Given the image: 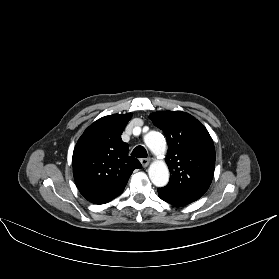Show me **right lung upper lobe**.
Returning <instances> with one entry per match:
<instances>
[{"label": "right lung upper lobe", "mask_w": 279, "mask_h": 279, "mask_svg": "<svg viewBox=\"0 0 279 279\" xmlns=\"http://www.w3.org/2000/svg\"><path fill=\"white\" fill-rule=\"evenodd\" d=\"M132 114H113L91 124L73 152V175L80 193L94 204L119 196L141 163L128 155L129 145L121 134Z\"/></svg>", "instance_id": "1"}]
</instances>
